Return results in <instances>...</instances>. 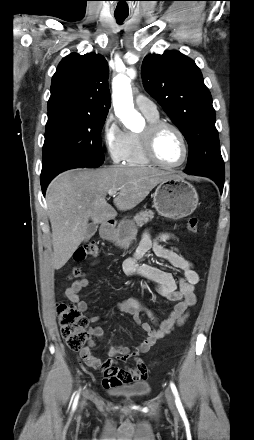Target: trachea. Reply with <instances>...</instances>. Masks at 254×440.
<instances>
[{
    "label": "trachea",
    "instance_id": "trachea-1",
    "mask_svg": "<svg viewBox=\"0 0 254 440\" xmlns=\"http://www.w3.org/2000/svg\"><path fill=\"white\" fill-rule=\"evenodd\" d=\"M126 17L127 16H123V15L122 16L121 15L120 16L119 15L115 16V18H116L118 23H122L125 20Z\"/></svg>",
    "mask_w": 254,
    "mask_h": 440
}]
</instances>
